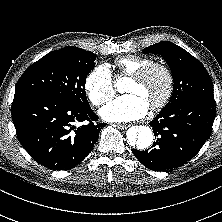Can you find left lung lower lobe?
<instances>
[{
    "label": "left lung lower lobe",
    "instance_id": "0a47b994",
    "mask_svg": "<svg viewBox=\"0 0 222 222\" xmlns=\"http://www.w3.org/2000/svg\"><path fill=\"white\" fill-rule=\"evenodd\" d=\"M216 116L215 101L191 99L162 110L150 122L156 141L149 150L132 149L154 171H169L190 161L210 137Z\"/></svg>",
    "mask_w": 222,
    "mask_h": 222
}]
</instances>
